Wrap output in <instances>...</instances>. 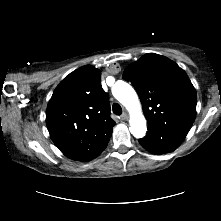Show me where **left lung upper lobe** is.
I'll use <instances>...</instances> for the list:
<instances>
[{"mask_svg": "<svg viewBox=\"0 0 221 221\" xmlns=\"http://www.w3.org/2000/svg\"><path fill=\"white\" fill-rule=\"evenodd\" d=\"M136 89L148 126L188 132L196 117V90L187 74L167 57L148 53L123 73Z\"/></svg>", "mask_w": 221, "mask_h": 221, "instance_id": "obj_1", "label": "left lung upper lobe"}]
</instances>
